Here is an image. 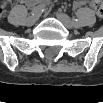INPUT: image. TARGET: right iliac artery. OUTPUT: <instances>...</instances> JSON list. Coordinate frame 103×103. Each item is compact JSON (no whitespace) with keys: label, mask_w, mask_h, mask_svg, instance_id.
<instances>
[{"label":"right iliac artery","mask_w":103,"mask_h":103,"mask_svg":"<svg viewBox=\"0 0 103 103\" xmlns=\"http://www.w3.org/2000/svg\"><path fill=\"white\" fill-rule=\"evenodd\" d=\"M45 9V5H38L34 7L31 11L32 16H40Z\"/></svg>","instance_id":"right-iliac-artery-1"}]
</instances>
